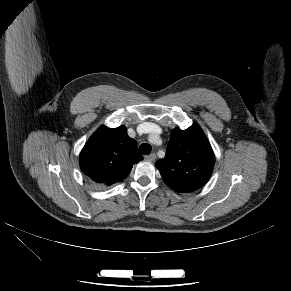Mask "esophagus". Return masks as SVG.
I'll return each mask as SVG.
<instances>
[{"label":"esophagus","mask_w":291,"mask_h":291,"mask_svg":"<svg viewBox=\"0 0 291 291\" xmlns=\"http://www.w3.org/2000/svg\"><path fill=\"white\" fill-rule=\"evenodd\" d=\"M145 159L149 161H154L156 159V154L151 153L150 155L145 156Z\"/></svg>","instance_id":"34e87169"}]
</instances>
